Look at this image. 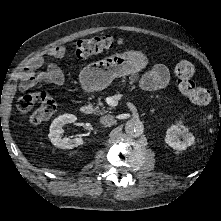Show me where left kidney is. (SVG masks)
Here are the masks:
<instances>
[{
    "label": "left kidney",
    "mask_w": 221,
    "mask_h": 221,
    "mask_svg": "<svg viewBox=\"0 0 221 221\" xmlns=\"http://www.w3.org/2000/svg\"><path fill=\"white\" fill-rule=\"evenodd\" d=\"M194 140V136L180 121L167 129L165 142L174 149L185 150L194 143Z\"/></svg>",
    "instance_id": "left-kidney-1"
}]
</instances>
